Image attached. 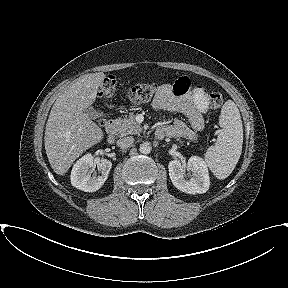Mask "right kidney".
Returning a JSON list of instances; mask_svg holds the SVG:
<instances>
[{
	"label": "right kidney",
	"instance_id": "obj_1",
	"mask_svg": "<svg viewBox=\"0 0 288 288\" xmlns=\"http://www.w3.org/2000/svg\"><path fill=\"white\" fill-rule=\"evenodd\" d=\"M94 166V158L90 153L81 157L72 168L71 184L85 192H95L100 189L108 178L112 163L107 159L101 160L98 164L100 176H91L90 169Z\"/></svg>",
	"mask_w": 288,
	"mask_h": 288
}]
</instances>
